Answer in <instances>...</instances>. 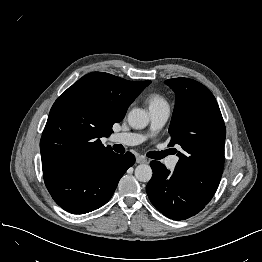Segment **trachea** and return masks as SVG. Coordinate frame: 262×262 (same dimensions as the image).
Listing matches in <instances>:
<instances>
[{"label":"trachea","mask_w":262,"mask_h":262,"mask_svg":"<svg viewBox=\"0 0 262 262\" xmlns=\"http://www.w3.org/2000/svg\"><path fill=\"white\" fill-rule=\"evenodd\" d=\"M170 154V152L167 150V151H150L147 153V156L149 158H152V159H162L164 158L166 155Z\"/></svg>","instance_id":"3493384b"}]
</instances>
